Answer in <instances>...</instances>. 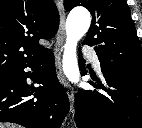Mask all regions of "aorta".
I'll return each mask as SVG.
<instances>
[{"label": "aorta", "instance_id": "obj_1", "mask_svg": "<svg viewBox=\"0 0 142 128\" xmlns=\"http://www.w3.org/2000/svg\"><path fill=\"white\" fill-rule=\"evenodd\" d=\"M90 23V13L83 8L71 11L66 21V42L62 64L64 74L72 83H77L80 79L77 43L88 31Z\"/></svg>", "mask_w": 142, "mask_h": 128}]
</instances>
